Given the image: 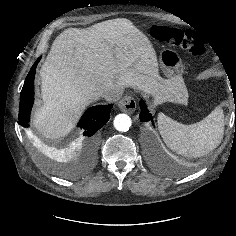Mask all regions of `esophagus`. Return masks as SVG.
I'll use <instances>...</instances> for the list:
<instances>
[{
    "label": "esophagus",
    "mask_w": 236,
    "mask_h": 236,
    "mask_svg": "<svg viewBox=\"0 0 236 236\" xmlns=\"http://www.w3.org/2000/svg\"><path fill=\"white\" fill-rule=\"evenodd\" d=\"M118 107L121 111L132 114L136 110V100L132 96H125L118 102Z\"/></svg>",
    "instance_id": "esophagus-1"
}]
</instances>
